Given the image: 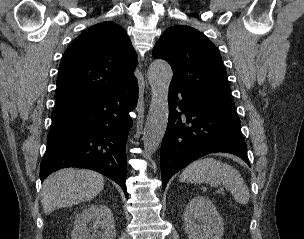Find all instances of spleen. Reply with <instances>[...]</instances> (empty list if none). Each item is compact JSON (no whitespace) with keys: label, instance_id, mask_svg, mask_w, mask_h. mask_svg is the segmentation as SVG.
I'll return each mask as SVG.
<instances>
[{"label":"spleen","instance_id":"spleen-1","mask_svg":"<svg viewBox=\"0 0 304 239\" xmlns=\"http://www.w3.org/2000/svg\"><path fill=\"white\" fill-rule=\"evenodd\" d=\"M180 181L194 184L223 185L230 190L235 201L247 204L250 193L240 173L232 166L214 158H202L188 165L180 175Z\"/></svg>","mask_w":304,"mask_h":239}]
</instances>
